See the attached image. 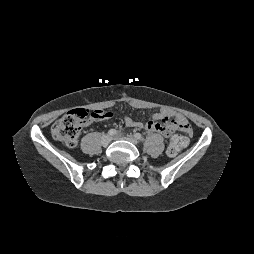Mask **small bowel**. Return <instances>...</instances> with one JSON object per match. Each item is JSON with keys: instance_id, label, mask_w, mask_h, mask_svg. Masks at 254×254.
<instances>
[{"instance_id": "c3829d8e", "label": "small bowel", "mask_w": 254, "mask_h": 254, "mask_svg": "<svg viewBox=\"0 0 254 254\" xmlns=\"http://www.w3.org/2000/svg\"><path fill=\"white\" fill-rule=\"evenodd\" d=\"M111 117V113L100 111V115L93 120H108ZM93 120L87 121L85 124H89ZM174 121L186 122L180 114L174 113L167 107L161 108L153 115L151 120L146 122L136 121L129 116L125 117L124 119L125 125L128 127L141 128L150 132H157L166 137L171 136L173 131L172 123Z\"/></svg>"}]
</instances>
